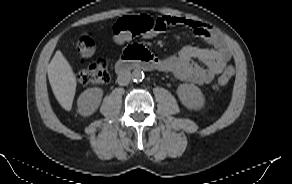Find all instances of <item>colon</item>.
Here are the masks:
<instances>
[{"label":"colon","mask_w":292,"mask_h":184,"mask_svg":"<svg viewBox=\"0 0 292 184\" xmlns=\"http://www.w3.org/2000/svg\"><path fill=\"white\" fill-rule=\"evenodd\" d=\"M161 33L156 20L147 15L127 16L119 19L113 27L115 41L124 43L136 36L151 40ZM94 41L89 34L80 36L77 50L82 57H89L94 52ZM235 70L228 66L214 84V89L225 86L233 77ZM78 81L83 85L105 84L110 80L108 64L105 60L95 61L77 73Z\"/></svg>","instance_id":"obj_1"}]
</instances>
